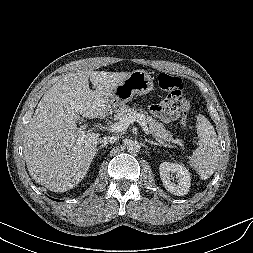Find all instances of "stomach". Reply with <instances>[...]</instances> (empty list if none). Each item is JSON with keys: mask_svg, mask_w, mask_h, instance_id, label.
Returning <instances> with one entry per match:
<instances>
[{"mask_svg": "<svg viewBox=\"0 0 253 253\" xmlns=\"http://www.w3.org/2000/svg\"><path fill=\"white\" fill-rule=\"evenodd\" d=\"M153 89V79L144 70L132 71L113 90L108 108H116L133 99L135 95H144Z\"/></svg>", "mask_w": 253, "mask_h": 253, "instance_id": "0dacf381", "label": "stomach"}]
</instances>
